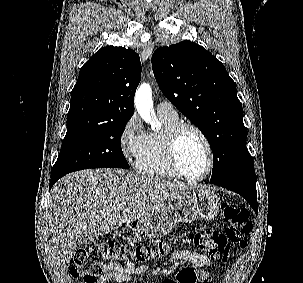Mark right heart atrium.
<instances>
[{
  "label": "right heart atrium",
  "instance_id": "obj_1",
  "mask_svg": "<svg viewBox=\"0 0 303 283\" xmlns=\"http://www.w3.org/2000/svg\"><path fill=\"white\" fill-rule=\"evenodd\" d=\"M146 133L136 115H132L122 127L119 136V143L124 157L133 161L136 160L143 148Z\"/></svg>",
  "mask_w": 303,
  "mask_h": 283
}]
</instances>
